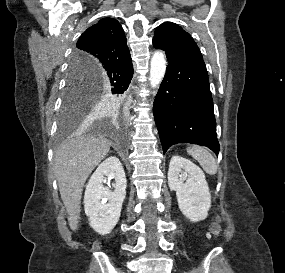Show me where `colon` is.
<instances>
[{"mask_svg":"<svg viewBox=\"0 0 285 273\" xmlns=\"http://www.w3.org/2000/svg\"><path fill=\"white\" fill-rule=\"evenodd\" d=\"M211 232L214 236H217L220 234L221 232V227H220V224L217 222V223H214L212 225V228H211Z\"/></svg>","mask_w":285,"mask_h":273,"instance_id":"obj_1","label":"colon"}]
</instances>
